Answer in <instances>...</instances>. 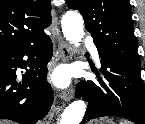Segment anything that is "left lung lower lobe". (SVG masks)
Masks as SVG:
<instances>
[{
	"label": "left lung lower lobe",
	"instance_id": "1",
	"mask_svg": "<svg viewBox=\"0 0 145 124\" xmlns=\"http://www.w3.org/2000/svg\"><path fill=\"white\" fill-rule=\"evenodd\" d=\"M101 74L97 82L82 81L76 96L89 105L81 124L102 116H117L145 124V89L140 66L100 55Z\"/></svg>",
	"mask_w": 145,
	"mask_h": 124
}]
</instances>
